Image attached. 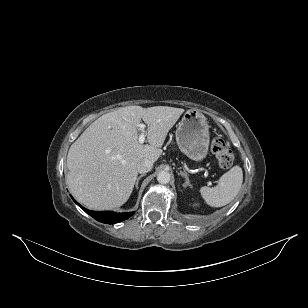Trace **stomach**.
<instances>
[{"mask_svg":"<svg viewBox=\"0 0 308 308\" xmlns=\"http://www.w3.org/2000/svg\"><path fill=\"white\" fill-rule=\"evenodd\" d=\"M176 142L180 150L190 159L201 161L208 154L209 124L198 110L185 112L176 130Z\"/></svg>","mask_w":308,"mask_h":308,"instance_id":"stomach-1","label":"stomach"}]
</instances>
